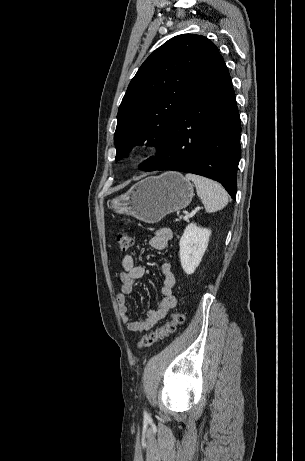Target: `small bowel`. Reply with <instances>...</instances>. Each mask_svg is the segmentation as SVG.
Instances as JSON below:
<instances>
[{
    "mask_svg": "<svg viewBox=\"0 0 305 461\" xmlns=\"http://www.w3.org/2000/svg\"><path fill=\"white\" fill-rule=\"evenodd\" d=\"M172 238V231L167 227L159 228L148 240L151 248L162 250L165 249ZM146 273L145 267L137 263L135 258L126 254L122 258V271L119 274L121 286L116 294V301L121 321L124 326L131 332L139 334L150 330L177 305L178 301L174 295L176 276L170 262H163L161 265V274L163 284L161 288L162 299L155 309H149L146 316L141 320L132 319L128 312L126 295L130 294L135 283Z\"/></svg>",
    "mask_w": 305,
    "mask_h": 461,
    "instance_id": "obj_1",
    "label": "small bowel"
}]
</instances>
